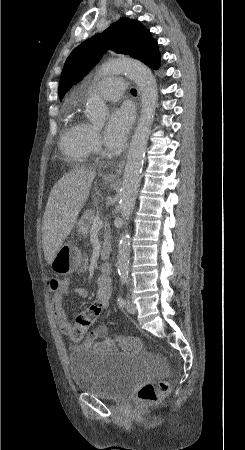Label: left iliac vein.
<instances>
[{"instance_id":"1","label":"left iliac vein","mask_w":245,"mask_h":450,"mask_svg":"<svg viewBox=\"0 0 245 450\" xmlns=\"http://www.w3.org/2000/svg\"><path fill=\"white\" fill-rule=\"evenodd\" d=\"M125 309L127 310L128 313L135 315L137 313V308L135 306V304L130 300L127 299L125 302Z\"/></svg>"}]
</instances>
